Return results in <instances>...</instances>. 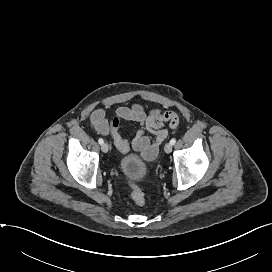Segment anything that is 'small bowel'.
<instances>
[{
    "mask_svg": "<svg viewBox=\"0 0 272 272\" xmlns=\"http://www.w3.org/2000/svg\"><path fill=\"white\" fill-rule=\"evenodd\" d=\"M121 122H136L141 125L132 141V147L140 155L153 160L159 151L160 145L166 139L168 131L166 125L173 130L179 125V116L172 110L162 111L153 108L147 111L143 106L134 104L130 107L122 106L117 110V117L112 125L101 123L98 130L105 135H110L114 145L122 154L130 150L128 141L121 134Z\"/></svg>",
    "mask_w": 272,
    "mask_h": 272,
    "instance_id": "obj_1",
    "label": "small bowel"
}]
</instances>
